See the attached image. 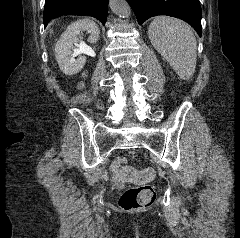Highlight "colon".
<instances>
[{
    "label": "colon",
    "instance_id": "5ec220e1",
    "mask_svg": "<svg viewBox=\"0 0 240 238\" xmlns=\"http://www.w3.org/2000/svg\"><path fill=\"white\" fill-rule=\"evenodd\" d=\"M122 181L138 184L123 191L119 198V207L124 211H136L150 207L155 201V191L146 182L155 177L153 168L137 170L130 166H124L120 170Z\"/></svg>",
    "mask_w": 240,
    "mask_h": 238
}]
</instances>
